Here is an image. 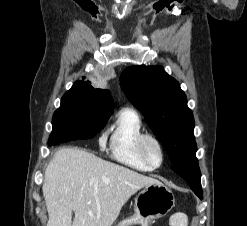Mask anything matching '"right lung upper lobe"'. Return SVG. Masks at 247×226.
I'll use <instances>...</instances> for the list:
<instances>
[{"instance_id": "right-lung-upper-lobe-1", "label": "right lung upper lobe", "mask_w": 247, "mask_h": 226, "mask_svg": "<svg viewBox=\"0 0 247 226\" xmlns=\"http://www.w3.org/2000/svg\"><path fill=\"white\" fill-rule=\"evenodd\" d=\"M88 82L78 80L68 92H77L99 101L102 104L103 111L111 114L114 109V103L110 91L95 89Z\"/></svg>"}]
</instances>
